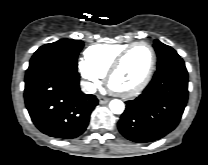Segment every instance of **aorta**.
<instances>
[{"mask_svg": "<svg viewBox=\"0 0 208 165\" xmlns=\"http://www.w3.org/2000/svg\"><path fill=\"white\" fill-rule=\"evenodd\" d=\"M109 107L114 114H122L125 109L124 103L118 99L111 100Z\"/></svg>", "mask_w": 208, "mask_h": 165, "instance_id": "aorta-1", "label": "aorta"}]
</instances>
